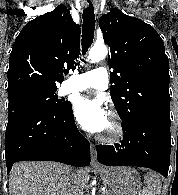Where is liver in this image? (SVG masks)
Instances as JSON below:
<instances>
[{
  "instance_id": "1",
  "label": "liver",
  "mask_w": 178,
  "mask_h": 195,
  "mask_svg": "<svg viewBox=\"0 0 178 195\" xmlns=\"http://www.w3.org/2000/svg\"><path fill=\"white\" fill-rule=\"evenodd\" d=\"M77 190L82 192L89 181L86 170H77ZM74 174L70 166L56 162H18L9 176L10 195H75Z\"/></svg>"
}]
</instances>
